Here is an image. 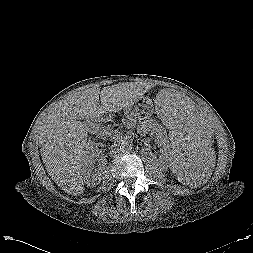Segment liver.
<instances>
[{"label":"liver","mask_w":253,"mask_h":253,"mask_svg":"<svg viewBox=\"0 0 253 253\" xmlns=\"http://www.w3.org/2000/svg\"><path fill=\"white\" fill-rule=\"evenodd\" d=\"M150 88L140 82H125L100 91L95 85L59 102L43 119L39 125L41 157L48 174L62 190L73 196L85 190L81 167L88 124L91 126L107 112H119L132 105Z\"/></svg>","instance_id":"liver-1"}]
</instances>
